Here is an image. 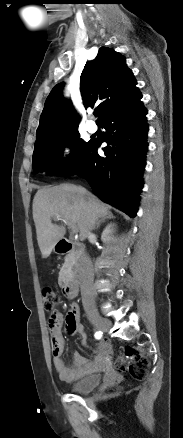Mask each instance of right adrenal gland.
Masks as SVG:
<instances>
[{
    "mask_svg": "<svg viewBox=\"0 0 183 438\" xmlns=\"http://www.w3.org/2000/svg\"><path fill=\"white\" fill-rule=\"evenodd\" d=\"M113 218H115V217L113 216V214H112L111 212H109L106 216H103V217L97 222V225H96L95 229H98V228L100 227L101 223L105 222L106 219H113Z\"/></svg>",
    "mask_w": 183,
    "mask_h": 438,
    "instance_id": "obj_1",
    "label": "right adrenal gland"
}]
</instances>
